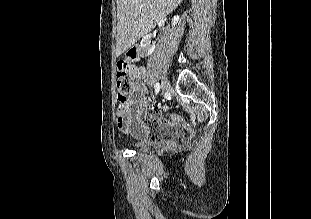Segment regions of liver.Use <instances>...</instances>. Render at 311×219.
Masks as SVG:
<instances>
[{
    "mask_svg": "<svg viewBox=\"0 0 311 219\" xmlns=\"http://www.w3.org/2000/svg\"><path fill=\"white\" fill-rule=\"evenodd\" d=\"M182 0H117L116 56H120L156 23L177 8Z\"/></svg>",
    "mask_w": 311,
    "mask_h": 219,
    "instance_id": "6515ba94",
    "label": "liver"
}]
</instances>
